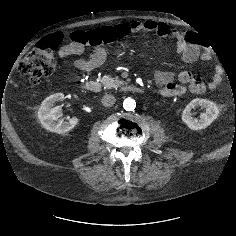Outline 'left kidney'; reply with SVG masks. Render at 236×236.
I'll list each match as a JSON object with an SVG mask.
<instances>
[{
	"instance_id": "left-kidney-1",
	"label": "left kidney",
	"mask_w": 236,
	"mask_h": 236,
	"mask_svg": "<svg viewBox=\"0 0 236 236\" xmlns=\"http://www.w3.org/2000/svg\"><path fill=\"white\" fill-rule=\"evenodd\" d=\"M196 106H200L205 109V113L200 115V119L192 117L191 110ZM218 106L207 99L196 98L193 99L184 109L182 113V121L191 130H201L207 128L217 117L219 116Z\"/></svg>"
}]
</instances>
